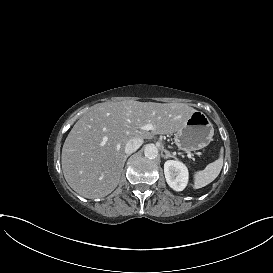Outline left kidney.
Wrapping results in <instances>:
<instances>
[{
  "label": "left kidney",
  "instance_id": "5707ae66",
  "mask_svg": "<svg viewBox=\"0 0 273 273\" xmlns=\"http://www.w3.org/2000/svg\"><path fill=\"white\" fill-rule=\"evenodd\" d=\"M165 178L168 185L175 191H183L189 183L188 167L179 160H167L164 164ZM178 173L175 178L174 174Z\"/></svg>",
  "mask_w": 273,
  "mask_h": 273
}]
</instances>
